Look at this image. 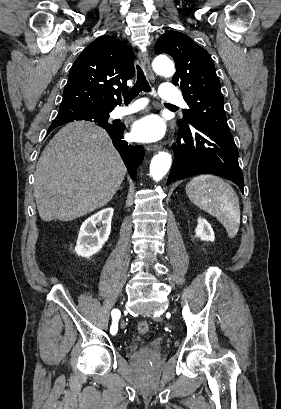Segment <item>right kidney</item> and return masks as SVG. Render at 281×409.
Listing matches in <instances>:
<instances>
[{
  "label": "right kidney",
  "mask_w": 281,
  "mask_h": 409,
  "mask_svg": "<svg viewBox=\"0 0 281 409\" xmlns=\"http://www.w3.org/2000/svg\"><path fill=\"white\" fill-rule=\"evenodd\" d=\"M114 209L107 207L98 211L89 219L82 223L75 247V253L79 257H92L102 249L104 243L108 241L111 233V221ZM96 225L100 227L97 229Z\"/></svg>",
  "instance_id": "obj_1"
}]
</instances>
